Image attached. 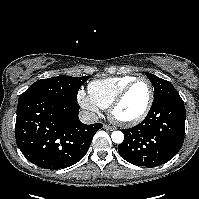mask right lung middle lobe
Masks as SVG:
<instances>
[{"mask_svg":"<svg viewBox=\"0 0 199 199\" xmlns=\"http://www.w3.org/2000/svg\"><path fill=\"white\" fill-rule=\"evenodd\" d=\"M89 78L90 76H57L48 79H41L36 81L24 93H22L19 100L40 94L77 103L78 90Z\"/></svg>","mask_w":199,"mask_h":199,"instance_id":"obj_1","label":"right lung middle lobe"}]
</instances>
